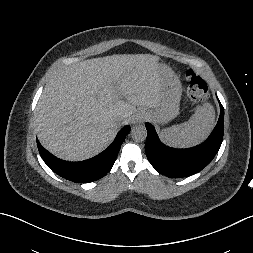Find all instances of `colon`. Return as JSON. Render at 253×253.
I'll list each match as a JSON object with an SVG mask.
<instances>
[{
  "mask_svg": "<svg viewBox=\"0 0 253 253\" xmlns=\"http://www.w3.org/2000/svg\"><path fill=\"white\" fill-rule=\"evenodd\" d=\"M188 82V95L193 103L198 104L205 102L208 97V86L203 78H201L193 69L186 72Z\"/></svg>",
  "mask_w": 253,
  "mask_h": 253,
  "instance_id": "5ec220e1",
  "label": "colon"
}]
</instances>
